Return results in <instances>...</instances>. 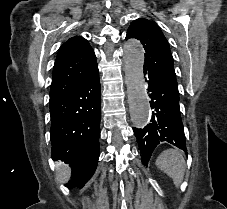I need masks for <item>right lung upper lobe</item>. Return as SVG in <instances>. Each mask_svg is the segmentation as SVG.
Instances as JSON below:
<instances>
[{
	"mask_svg": "<svg viewBox=\"0 0 227 209\" xmlns=\"http://www.w3.org/2000/svg\"><path fill=\"white\" fill-rule=\"evenodd\" d=\"M96 56L89 42L81 36H74L58 50L53 68L50 100L57 99L78 85L87 74H71L72 66L90 68L95 65Z\"/></svg>",
	"mask_w": 227,
	"mask_h": 209,
	"instance_id": "obj_1",
	"label": "right lung upper lobe"
}]
</instances>
